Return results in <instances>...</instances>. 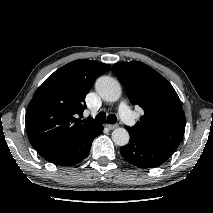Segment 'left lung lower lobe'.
<instances>
[{
    "instance_id": "left-lung-lower-lobe-1",
    "label": "left lung lower lobe",
    "mask_w": 213,
    "mask_h": 213,
    "mask_svg": "<svg viewBox=\"0 0 213 213\" xmlns=\"http://www.w3.org/2000/svg\"><path fill=\"white\" fill-rule=\"evenodd\" d=\"M130 141L120 148L123 158L130 164L141 168H154L163 164L174 151L151 145L139 136L128 131Z\"/></svg>"
}]
</instances>
